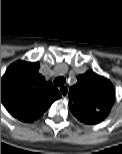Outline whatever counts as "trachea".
Returning <instances> with one entry per match:
<instances>
[{
	"label": "trachea",
	"instance_id": "1",
	"mask_svg": "<svg viewBox=\"0 0 122 154\" xmlns=\"http://www.w3.org/2000/svg\"><path fill=\"white\" fill-rule=\"evenodd\" d=\"M66 82V79L64 77H57L54 79V84L56 86H63Z\"/></svg>",
	"mask_w": 122,
	"mask_h": 154
}]
</instances>
